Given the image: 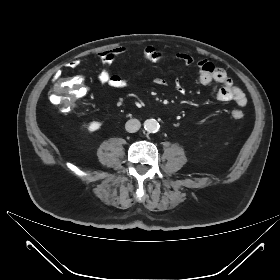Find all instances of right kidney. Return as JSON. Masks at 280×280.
I'll list each match as a JSON object with an SVG mask.
<instances>
[{"mask_svg": "<svg viewBox=\"0 0 280 280\" xmlns=\"http://www.w3.org/2000/svg\"><path fill=\"white\" fill-rule=\"evenodd\" d=\"M101 127V123L100 122H97V121H93L91 122L89 125H88V130L90 132H93V131H96L98 130L99 128Z\"/></svg>", "mask_w": 280, "mask_h": 280, "instance_id": "1", "label": "right kidney"}]
</instances>
